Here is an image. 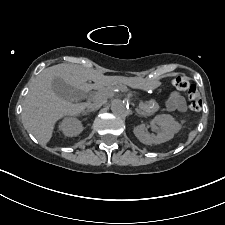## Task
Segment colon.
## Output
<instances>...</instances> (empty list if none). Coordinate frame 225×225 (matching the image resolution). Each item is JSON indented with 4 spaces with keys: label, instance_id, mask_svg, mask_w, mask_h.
Listing matches in <instances>:
<instances>
[{
    "label": "colon",
    "instance_id": "colon-1",
    "mask_svg": "<svg viewBox=\"0 0 225 225\" xmlns=\"http://www.w3.org/2000/svg\"><path fill=\"white\" fill-rule=\"evenodd\" d=\"M172 85L179 91H188L189 107L192 111L198 112L202 108V97L196 86L192 85L184 76H176Z\"/></svg>",
    "mask_w": 225,
    "mask_h": 225
}]
</instances>
